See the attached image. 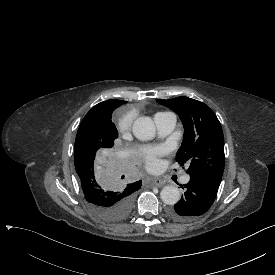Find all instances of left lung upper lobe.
Returning <instances> with one entry per match:
<instances>
[{
  "instance_id": "1",
  "label": "left lung upper lobe",
  "mask_w": 275,
  "mask_h": 275,
  "mask_svg": "<svg viewBox=\"0 0 275 275\" xmlns=\"http://www.w3.org/2000/svg\"><path fill=\"white\" fill-rule=\"evenodd\" d=\"M157 102L176 112L184 126V138L176 161L188 162L190 176H206L221 181L224 170V138L221 124L214 112L204 103L176 97Z\"/></svg>"
}]
</instances>
